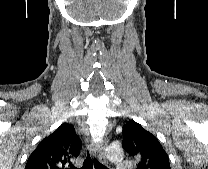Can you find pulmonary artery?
Returning a JSON list of instances; mask_svg holds the SVG:
<instances>
[{"label": "pulmonary artery", "instance_id": "1", "mask_svg": "<svg viewBox=\"0 0 208 169\" xmlns=\"http://www.w3.org/2000/svg\"><path fill=\"white\" fill-rule=\"evenodd\" d=\"M131 168H132V164L130 161H120L116 166V169H131Z\"/></svg>", "mask_w": 208, "mask_h": 169}]
</instances>
